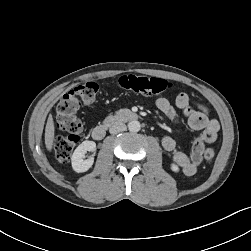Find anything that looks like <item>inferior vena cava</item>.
<instances>
[{"label": "inferior vena cava", "mask_w": 251, "mask_h": 251, "mask_svg": "<svg viewBox=\"0 0 251 251\" xmlns=\"http://www.w3.org/2000/svg\"><path fill=\"white\" fill-rule=\"evenodd\" d=\"M125 130H126V125L124 123L116 122L110 127L109 132L110 134L114 135L123 132Z\"/></svg>", "instance_id": "inferior-vena-cava-1"}]
</instances>
